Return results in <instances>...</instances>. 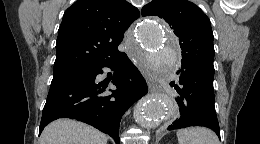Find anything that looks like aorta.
Masks as SVG:
<instances>
[{"label": "aorta", "mask_w": 260, "mask_h": 144, "mask_svg": "<svg viewBox=\"0 0 260 144\" xmlns=\"http://www.w3.org/2000/svg\"><path fill=\"white\" fill-rule=\"evenodd\" d=\"M136 32L140 48L130 49L133 57L147 70L163 74L171 72L177 61L176 39L168 34L155 18L142 20ZM141 50H144V53ZM174 109V103L164 94L146 96L135 107V121L144 128L157 127L169 119L170 112Z\"/></svg>", "instance_id": "1"}]
</instances>
